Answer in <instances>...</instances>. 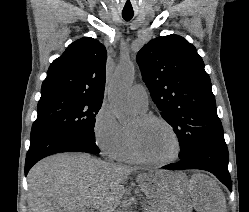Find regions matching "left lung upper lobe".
<instances>
[{
    "mask_svg": "<svg viewBox=\"0 0 249 212\" xmlns=\"http://www.w3.org/2000/svg\"><path fill=\"white\" fill-rule=\"evenodd\" d=\"M143 81L180 144V158L206 139L224 136L204 62L183 37L168 35L137 54Z\"/></svg>",
    "mask_w": 249,
    "mask_h": 212,
    "instance_id": "obj_1",
    "label": "left lung upper lobe"
}]
</instances>
